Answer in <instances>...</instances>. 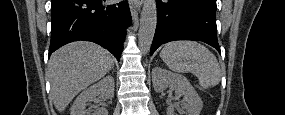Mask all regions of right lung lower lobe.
<instances>
[{
	"mask_svg": "<svg viewBox=\"0 0 285 115\" xmlns=\"http://www.w3.org/2000/svg\"><path fill=\"white\" fill-rule=\"evenodd\" d=\"M105 0H52L49 55L77 40L97 43L119 61L131 15L127 1L106 5Z\"/></svg>",
	"mask_w": 285,
	"mask_h": 115,
	"instance_id": "obj_1",
	"label": "right lung lower lobe"
}]
</instances>
